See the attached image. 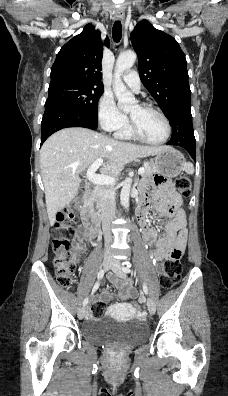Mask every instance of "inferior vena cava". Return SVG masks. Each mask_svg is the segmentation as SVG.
<instances>
[{
    "mask_svg": "<svg viewBox=\"0 0 228 396\" xmlns=\"http://www.w3.org/2000/svg\"><path fill=\"white\" fill-rule=\"evenodd\" d=\"M115 195L113 192L106 193L102 197V218L103 231L105 238V254H110V244L112 242V235L109 229L111 220L115 217Z\"/></svg>",
    "mask_w": 228,
    "mask_h": 396,
    "instance_id": "inferior-vena-cava-1",
    "label": "inferior vena cava"
}]
</instances>
